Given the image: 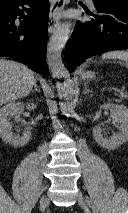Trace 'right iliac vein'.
<instances>
[{
    "label": "right iliac vein",
    "instance_id": "1",
    "mask_svg": "<svg viewBox=\"0 0 128 213\" xmlns=\"http://www.w3.org/2000/svg\"><path fill=\"white\" fill-rule=\"evenodd\" d=\"M49 204V200L46 196H43L40 200V207H46Z\"/></svg>",
    "mask_w": 128,
    "mask_h": 213
}]
</instances>
